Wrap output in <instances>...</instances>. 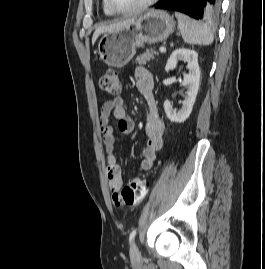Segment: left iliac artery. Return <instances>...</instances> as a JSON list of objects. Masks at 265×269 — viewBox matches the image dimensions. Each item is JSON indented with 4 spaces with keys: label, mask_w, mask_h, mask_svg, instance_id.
I'll return each instance as SVG.
<instances>
[{
    "label": "left iliac artery",
    "mask_w": 265,
    "mask_h": 269,
    "mask_svg": "<svg viewBox=\"0 0 265 269\" xmlns=\"http://www.w3.org/2000/svg\"><path fill=\"white\" fill-rule=\"evenodd\" d=\"M137 234V229H134L131 233H130V236H129V241L131 242L135 236Z\"/></svg>",
    "instance_id": "44dca946"
}]
</instances>
